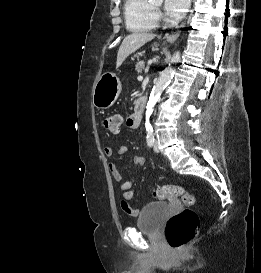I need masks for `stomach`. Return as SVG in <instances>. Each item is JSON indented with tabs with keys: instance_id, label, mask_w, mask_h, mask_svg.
I'll return each instance as SVG.
<instances>
[{
	"instance_id": "obj_1",
	"label": "stomach",
	"mask_w": 261,
	"mask_h": 273,
	"mask_svg": "<svg viewBox=\"0 0 261 273\" xmlns=\"http://www.w3.org/2000/svg\"><path fill=\"white\" fill-rule=\"evenodd\" d=\"M122 90L120 79L112 72L103 73L93 88V105L98 109L111 107Z\"/></svg>"
}]
</instances>
